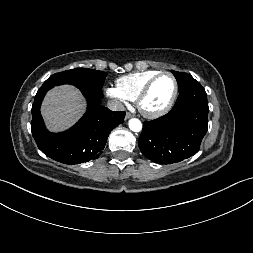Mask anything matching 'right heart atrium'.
<instances>
[{
	"mask_svg": "<svg viewBox=\"0 0 253 253\" xmlns=\"http://www.w3.org/2000/svg\"><path fill=\"white\" fill-rule=\"evenodd\" d=\"M106 95L115 100L119 105H126L128 99H126L121 92L117 89V87L109 86L105 89Z\"/></svg>",
	"mask_w": 253,
	"mask_h": 253,
	"instance_id": "obj_1",
	"label": "right heart atrium"
}]
</instances>
